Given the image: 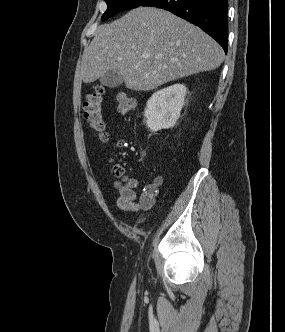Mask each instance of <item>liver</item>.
<instances>
[{
    "instance_id": "1",
    "label": "liver",
    "mask_w": 285,
    "mask_h": 332,
    "mask_svg": "<svg viewBox=\"0 0 285 332\" xmlns=\"http://www.w3.org/2000/svg\"><path fill=\"white\" fill-rule=\"evenodd\" d=\"M221 46L199 27L154 7H138L98 27L85 48L80 74L91 83L118 71L125 86L149 91L169 81L218 68Z\"/></svg>"
}]
</instances>
